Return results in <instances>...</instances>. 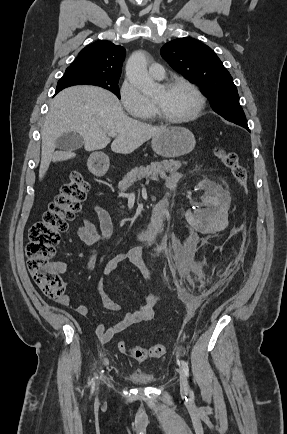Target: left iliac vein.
<instances>
[{
	"label": "left iliac vein",
	"mask_w": 287,
	"mask_h": 434,
	"mask_svg": "<svg viewBox=\"0 0 287 434\" xmlns=\"http://www.w3.org/2000/svg\"><path fill=\"white\" fill-rule=\"evenodd\" d=\"M179 374H180L181 392H182V394L187 395L189 393L187 377H186L183 369H180Z\"/></svg>",
	"instance_id": "obj_1"
}]
</instances>
